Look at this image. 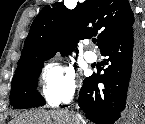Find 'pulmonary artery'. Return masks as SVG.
Returning <instances> with one entry per match:
<instances>
[{
  "instance_id": "1",
  "label": "pulmonary artery",
  "mask_w": 145,
  "mask_h": 124,
  "mask_svg": "<svg viewBox=\"0 0 145 124\" xmlns=\"http://www.w3.org/2000/svg\"><path fill=\"white\" fill-rule=\"evenodd\" d=\"M84 58L88 63H93L96 61L97 56L93 51H86L84 53Z\"/></svg>"
}]
</instances>
